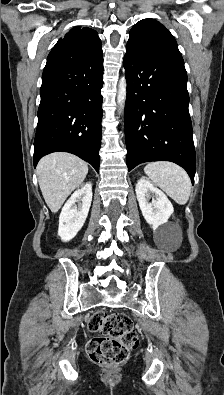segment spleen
<instances>
[{
  "mask_svg": "<svg viewBox=\"0 0 224 395\" xmlns=\"http://www.w3.org/2000/svg\"><path fill=\"white\" fill-rule=\"evenodd\" d=\"M146 175L176 203L184 205L189 200L191 181L186 171L171 162H152L144 167Z\"/></svg>",
  "mask_w": 224,
  "mask_h": 395,
  "instance_id": "3e777b00",
  "label": "spleen"
}]
</instances>
